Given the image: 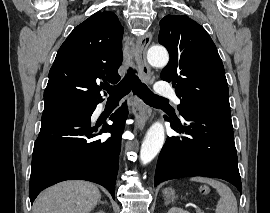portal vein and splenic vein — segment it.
<instances>
[{"label": "portal vein and splenic vein", "mask_w": 270, "mask_h": 213, "mask_svg": "<svg viewBox=\"0 0 270 213\" xmlns=\"http://www.w3.org/2000/svg\"><path fill=\"white\" fill-rule=\"evenodd\" d=\"M196 213H203L201 210L197 209Z\"/></svg>", "instance_id": "portal-vein-and-splenic-vein-1"}]
</instances>
